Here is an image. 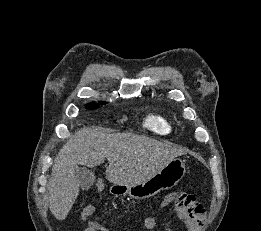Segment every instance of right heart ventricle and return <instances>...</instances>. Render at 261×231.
<instances>
[{
	"instance_id": "1",
	"label": "right heart ventricle",
	"mask_w": 261,
	"mask_h": 231,
	"mask_svg": "<svg viewBox=\"0 0 261 231\" xmlns=\"http://www.w3.org/2000/svg\"><path fill=\"white\" fill-rule=\"evenodd\" d=\"M143 126L160 135L170 134L174 129L171 119L160 110L148 111L143 118Z\"/></svg>"
}]
</instances>
